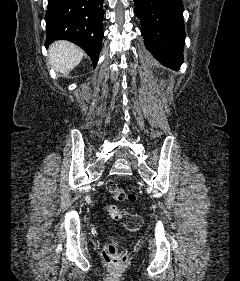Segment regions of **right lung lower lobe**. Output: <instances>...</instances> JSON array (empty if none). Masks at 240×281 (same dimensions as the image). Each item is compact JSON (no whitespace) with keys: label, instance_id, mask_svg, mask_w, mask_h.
Returning <instances> with one entry per match:
<instances>
[{"label":"right lung lower lobe","instance_id":"obj_1","mask_svg":"<svg viewBox=\"0 0 240 281\" xmlns=\"http://www.w3.org/2000/svg\"><path fill=\"white\" fill-rule=\"evenodd\" d=\"M104 0H48L46 42L68 40L80 46L92 59L94 66L102 47Z\"/></svg>","mask_w":240,"mask_h":281}]
</instances>
